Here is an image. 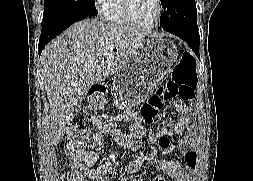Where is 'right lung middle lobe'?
Here are the masks:
<instances>
[{
    "instance_id": "obj_1",
    "label": "right lung middle lobe",
    "mask_w": 253,
    "mask_h": 181,
    "mask_svg": "<svg viewBox=\"0 0 253 181\" xmlns=\"http://www.w3.org/2000/svg\"><path fill=\"white\" fill-rule=\"evenodd\" d=\"M42 27L53 25L74 15H97L94 0H44Z\"/></svg>"
}]
</instances>
